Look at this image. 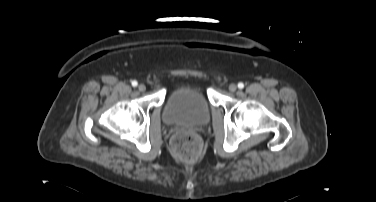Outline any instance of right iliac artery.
<instances>
[{
	"label": "right iliac artery",
	"mask_w": 376,
	"mask_h": 202,
	"mask_svg": "<svg viewBox=\"0 0 376 202\" xmlns=\"http://www.w3.org/2000/svg\"><path fill=\"white\" fill-rule=\"evenodd\" d=\"M137 85H138L137 81H135V80L132 81V86H133V87H136Z\"/></svg>",
	"instance_id": "82829eb1"
}]
</instances>
